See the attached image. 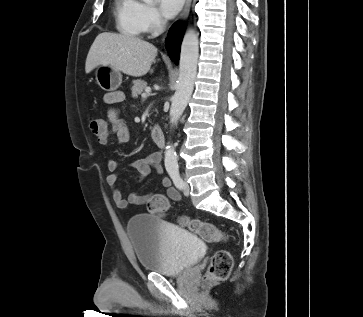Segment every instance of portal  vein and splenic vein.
I'll return each instance as SVG.
<instances>
[{
    "mask_svg": "<svg viewBox=\"0 0 363 317\" xmlns=\"http://www.w3.org/2000/svg\"><path fill=\"white\" fill-rule=\"evenodd\" d=\"M150 92H151V88H150V87H147V88L145 89V92L142 94V97H143V98H146V97H147V95H148V94H150Z\"/></svg>",
    "mask_w": 363,
    "mask_h": 317,
    "instance_id": "18ae733b",
    "label": "portal vein and splenic vein"
}]
</instances>
